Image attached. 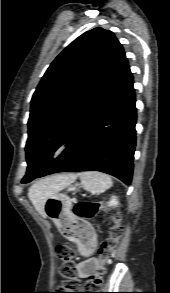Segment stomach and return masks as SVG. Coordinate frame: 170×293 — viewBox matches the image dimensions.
I'll list each match as a JSON object with an SVG mask.
<instances>
[{"instance_id":"obj_1","label":"stomach","mask_w":170,"mask_h":293,"mask_svg":"<svg viewBox=\"0 0 170 293\" xmlns=\"http://www.w3.org/2000/svg\"><path fill=\"white\" fill-rule=\"evenodd\" d=\"M73 182L57 190L46 199L44 203V212L57 227L67 233L68 238H73L79 243H82L76 234H71L70 231L65 229L67 223L73 219L71 211L72 199L67 195V192H76L78 190V185L73 184ZM63 190H65V192H63ZM85 231H89L87 226H85Z\"/></svg>"}]
</instances>
